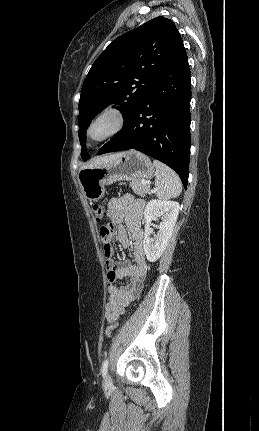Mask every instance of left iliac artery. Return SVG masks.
Segmentation results:
<instances>
[{"mask_svg":"<svg viewBox=\"0 0 259 431\" xmlns=\"http://www.w3.org/2000/svg\"><path fill=\"white\" fill-rule=\"evenodd\" d=\"M108 358L104 360L103 365H102V375L103 377L106 376L107 370H108Z\"/></svg>","mask_w":259,"mask_h":431,"instance_id":"obj_1","label":"left iliac artery"}]
</instances>
